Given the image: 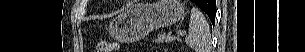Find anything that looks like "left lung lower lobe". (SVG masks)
<instances>
[{
	"label": "left lung lower lobe",
	"instance_id": "obj_1",
	"mask_svg": "<svg viewBox=\"0 0 305 52\" xmlns=\"http://www.w3.org/2000/svg\"><path fill=\"white\" fill-rule=\"evenodd\" d=\"M196 4L195 0H192ZM201 8L207 13L211 22L215 23V9H216V0H206Z\"/></svg>",
	"mask_w": 305,
	"mask_h": 52
}]
</instances>
